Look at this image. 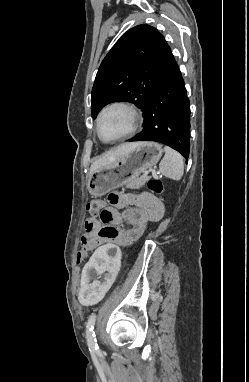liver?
Masks as SVG:
<instances>
[{
  "mask_svg": "<svg viewBox=\"0 0 249 382\" xmlns=\"http://www.w3.org/2000/svg\"><path fill=\"white\" fill-rule=\"evenodd\" d=\"M137 144L138 143H125V144L119 145L114 150L107 152L102 157H100L98 160H96L94 163H92V165L90 167L89 175H91L97 169L107 167L110 164L114 163L119 157H121L124 154H126L127 152H129Z\"/></svg>",
  "mask_w": 249,
  "mask_h": 382,
  "instance_id": "6515ba94",
  "label": "liver"
}]
</instances>
